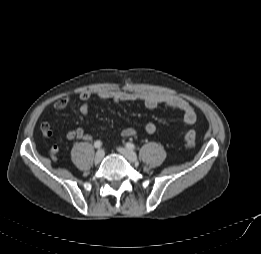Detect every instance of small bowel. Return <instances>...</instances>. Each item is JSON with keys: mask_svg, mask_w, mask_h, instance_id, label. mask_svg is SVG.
I'll list each match as a JSON object with an SVG mask.
<instances>
[{"mask_svg": "<svg viewBox=\"0 0 261 254\" xmlns=\"http://www.w3.org/2000/svg\"><path fill=\"white\" fill-rule=\"evenodd\" d=\"M97 96L103 100H111L114 103L119 102H131V103H143L147 108L154 109L159 106H165L171 109L179 110L183 113L184 125L190 126L196 121V112L191 104L185 99L163 92H127L121 90H102L98 92ZM79 99L81 105L79 112L82 116L87 117L89 114V101L91 99V93L85 91L80 93ZM71 104V100L68 97L60 98L53 103V108L56 110H62ZM144 130L152 134L156 131V125L153 122H148L144 125ZM41 131L43 135L52 136L51 125L49 122H43L41 124ZM49 131L46 135L45 132ZM137 134L134 128H125L121 131V138L133 137ZM66 137L70 140L81 139L84 141H91L92 136L86 133L82 128L69 129L66 132ZM57 152V147H52L51 154Z\"/></svg>", "mask_w": 261, "mask_h": 254, "instance_id": "c3829d8e", "label": "small bowel"}]
</instances>
